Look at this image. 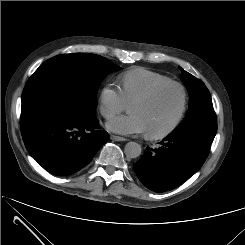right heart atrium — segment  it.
Segmentation results:
<instances>
[{"instance_id": "right-heart-atrium-1", "label": "right heart atrium", "mask_w": 245, "mask_h": 245, "mask_svg": "<svg viewBox=\"0 0 245 245\" xmlns=\"http://www.w3.org/2000/svg\"><path fill=\"white\" fill-rule=\"evenodd\" d=\"M126 102L119 89L104 85L99 93V111L105 118H111L124 110Z\"/></svg>"}]
</instances>
